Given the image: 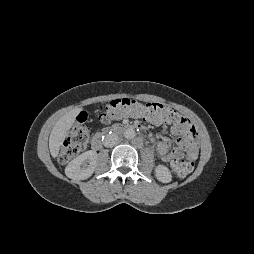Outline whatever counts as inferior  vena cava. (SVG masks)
I'll list each match as a JSON object with an SVG mask.
<instances>
[{"label": "inferior vena cava", "instance_id": "602c4592", "mask_svg": "<svg viewBox=\"0 0 254 254\" xmlns=\"http://www.w3.org/2000/svg\"><path fill=\"white\" fill-rule=\"evenodd\" d=\"M118 141V135L115 133L107 134L104 138L103 144L105 147H113Z\"/></svg>", "mask_w": 254, "mask_h": 254}]
</instances>
